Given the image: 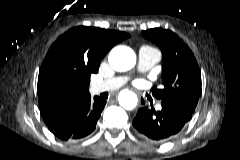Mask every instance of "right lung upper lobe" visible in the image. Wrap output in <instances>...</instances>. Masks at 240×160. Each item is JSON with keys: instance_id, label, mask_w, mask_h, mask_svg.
I'll list each match as a JSON object with an SVG mask.
<instances>
[{"instance_id": "1", "label": "right lung upper lobe", "mask_w": 240, "mask_h": 160, "mask_svg": "<svg viewBox=\"0 0 240 160\" xmlns=\"http://www.w3.org/2000/svg\"><path fill=\"white\" fill-rule=\"evenodd\" d=\"M129 34L78 26L61 35L50 47L38 76L39 108L72 101L87 93L90 75L97 73L102 57Z\"/></svg>"}]
</instances>
